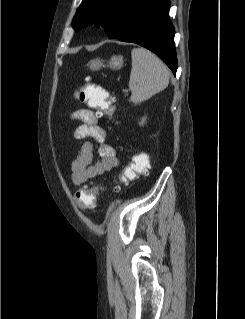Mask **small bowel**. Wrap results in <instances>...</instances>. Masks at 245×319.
<instances>
[{
    "instance_id": "c3829d8e",
    "label": "small bowel",
    "mask_w": 245,
    "mask_h": 319,
    "mask_svg": "<svg viewBox=\"0 0 245 319\" xmlns=\"http://www.w3.org/2000/svg\"><path fill=\"white\" fill-rule=\"evenodd\" d=\"M99 118V113L89 109H78L71 115L72 120L81 122L74 129L73 138L90 139L94 142L84 143L79 154L72 161V182L75 185L85 184L118 166L113 147L105 142L106 131L99 125ZM94 151L98 154V160H94Z\"/></svg>"
}]
</instances>
